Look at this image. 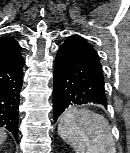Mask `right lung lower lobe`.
Returning a JSON list of instances; mask_svg holds the SVG:
<instances>
[{
  "label": "right lung lower lobe",
  "instance_id": "98d812e1",
  "mask_svg": "<svg viewBox=\"0 0 130 153\" xmlns=\"http://www.w3.org/2000/svg\"><path fill=\"white\" fill-rule=\"evenodd\" d=\"M22 55L0 63V127L9 130L18 141L20 91L23 82Z\"/></svg>",
  "mask_w": 130,
  "mask_h": 153
}]
</instances>
